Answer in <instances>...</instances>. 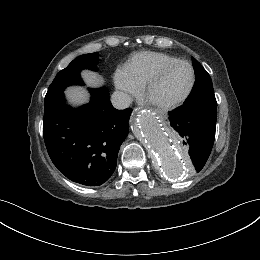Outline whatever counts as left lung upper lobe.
Segmentation results:
<instances>
[{"label": "left lung upper lobe", "mask_w": 260, "mask_h": 260, "mask_svg": "<svg viewBox=\"0 0 260 260\" xmlns=\"http://www.w3.org/2000/svg\"><path fill=\"white\" fill-rule=\"evenodd\" d=\"M197 80L190 96L186 99L183 106L197 105L203 101L216 102L212 80L203 66L192 58Z\"/></svg>", "instance_id": "5c2ea615"}]
</instances>
